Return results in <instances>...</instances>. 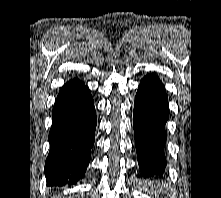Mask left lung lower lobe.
Returning <instances> with one entry per match:
<instances>
[{
	"label": "left lung lower lobe",
	"instance_id": "1",
	"mask_svg": "<svg viewBox=\"0 0 221 198\" xmlns=\"http://www.w3.org/2000/svg\"><path fill=\"white\" fill-rule=\"evenodd\" d=\"M169 118L168 98L156 74L145 76L135 97L133 126L139 167L144 177L162 174L166 166L165 124Z\"/></svg>",
	"mask_w": 221,
	"mask_h": 198
}]
</instances>
